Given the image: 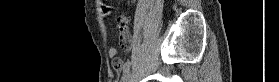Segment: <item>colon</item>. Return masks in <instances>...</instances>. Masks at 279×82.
Listing matches in <instances>:
<instances>
[{"instance_id": "5ec220e1", "label": "colon", "mask_w": 279, "mask_h": 82, "mask_svg": "<svg viewBox=\"0 0 279 82\" xmlns=\"http://www.w3.org/2000/svg\"><path fill=\"white\" fill-rule=\"evenodd\" d=\"M128 24V20L125 16H120L118 18V26H120L121 28L125 27V25Z\"/></svg>"}]
</instances>
